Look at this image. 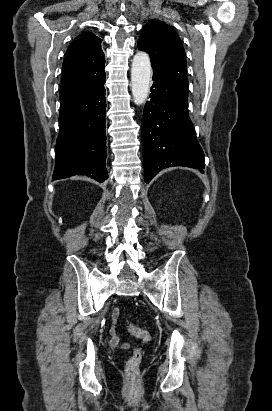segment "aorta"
I'll use <instances>...</instances> for the list:
<instances>
[{
	"mask_svg": "<svg viewBox=\"0 0 272 411\" xmlns=\"http://www.w3.org/2000/svg\"><path fill=\"white\" fill-rule=\"evenodd\" d=\"M150 77V58L145 52H138L133 58L131 69L132 95L137 105H142L147 100Z\"/></svg>",
	"mask_w": 272,
	"mask_h": 411,
	"instance_id": "obj_1",
	"label": "aorta"
}]
</instances>
